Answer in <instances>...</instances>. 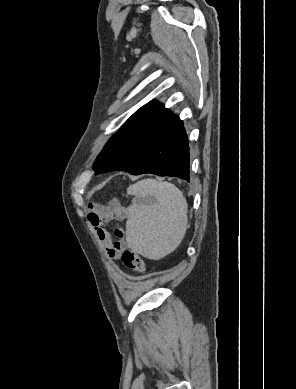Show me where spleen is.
<instances>
[{
  "mask_svg": "<svg viewBox=\"0 0 296 389\" xmlns=\"http://www.w3.org/2000/svg\"><path fill=\"white\" fill-rule=\"evenodd\" d=\"M135 196L128 207L126 241L135 253L159 260L173 252L187 229V202L173 184L145 179L127 188Z\"/></svg>",
  "mask_w": 296,
  "mask_h": 389,
  "instance_id": "3e777b00",
  "label": "spleen"
}]
</instances>
